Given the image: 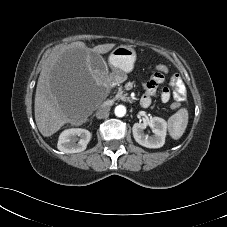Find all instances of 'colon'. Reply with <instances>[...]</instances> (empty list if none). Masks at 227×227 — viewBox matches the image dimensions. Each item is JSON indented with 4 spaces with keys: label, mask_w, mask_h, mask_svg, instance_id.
Returning <instances> with one entry per match:
<instances>
[{
    "label": "colon",
    "mask_w": 227,
    "mask_h": 227,
    "mask_svg": "<svg viewBox=\"0 0 227 227\" xmlns=\"http://www.w3.org/2000/svg\"><path fill=\"white\" fill-rule=\"evenodd\" d=\"M155 72H159V73H167L168 72V67L166 65H158L155 68ZM179 107V103H173L172 104V108L176 109Z\"/></svg>",
    "instance_id": "1"
}]
</instances>
